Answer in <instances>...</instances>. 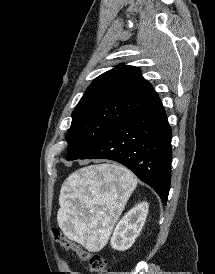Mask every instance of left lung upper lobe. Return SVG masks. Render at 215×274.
<instances>
[{"label": "left lung upper lobe", "mask_w": 215, "mask_h": 274, "mask_svg": "<svg viewBox=\"0 0 215 274\" xmlns=\"http://www.w3.org/2000/svg\"><path fill=\"white\" fill-rule=\"evenodd\" d=\"M158 98L137 67L121 65L97 77L72 112L67 159L85 156L122 121Z\"/></svg>", "instance_id": "left-lung-upper-lobe-1"}]
</instances>
